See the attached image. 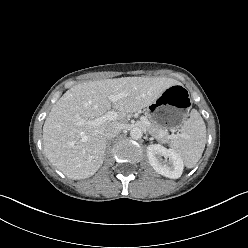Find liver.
Listing matches in <instances>:
<instances>
[{"label": "liver", "mask_w": 248, "mask_h": 248, "mask_svg": "<svg viewBox=\"0 0 248 248\" xmlns=\"http://www.w3.org/2000/svg\"><path fill=\"white\" fill-rule=\"evenodd\" d=\"M175 84L180 83L166 77H121L73 86L56 102L45 120L43 142L48 160L73 180L94 175L104 161L106 128L120 124L127 114L148 107ZM119 93L125 96L114 103L109 100V95ZM111 107L118 111V120L99 125L89 123Z\"/></svg>", "instance_id": "obj_1"}]
</instances>
